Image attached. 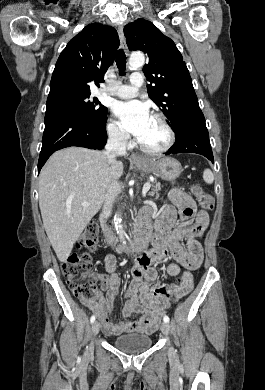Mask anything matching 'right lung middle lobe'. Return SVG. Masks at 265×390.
Wrapping results in <instances>:
<instances>
[{
	"label": "right lung middle lobe",
	"mask_w": 265,
	"mask_h": 390,
	"mask_svg": "<svg viewBox=\"0 0 265 390\" xmlns=\"http://www.w3.org/2000/svg\"><path fill=\"white\" fill-rule=\"evenodd\" d=\"M53 113L74 114L101 123L106 120L107 108L96 98L91 99L90 93L70 94L47 100L45 115Z\"/></svg>",
	"instance_id": "dd1d6c3e"
}]
</instances>
